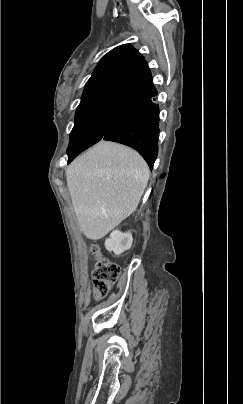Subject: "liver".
Wrapping results in <instances>:
<instances>
[{"instance_id": "obj_1", "label": "liver", "mask_w": 243, "mask_h": 404, "mask_svg": "<svg viewBox=\"0 0 243 404\" xmlns=\"http://www.w3.org/2000/svg\"><path fill=\"white\" fill-rule=\"evenodd\" d=\"M138 152L104 142L89 148L66 172L73 210L89 240H101L136 210L149 180Z\"/></svg>"}]
</instances>
